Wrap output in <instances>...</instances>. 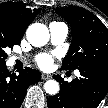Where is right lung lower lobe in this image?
<instances>
[{"instance_id": "right-lung-lower-lobe-1", "label": "right lung lower lobe", "mask_w": 108, "mask_h": 108, "mask_svg": "<svg viewBox=\"0 0 108 108\" xmlns=\"http://www.w3.org/2000/svg\"><path fill=\"white\" fill-rule=\"evenodd\" d=\"M40 79L41 73L35 69L26 67L16 75L7 70L5 63H0V108H19L27 88Z\"/></svg>"}]
</instances>
